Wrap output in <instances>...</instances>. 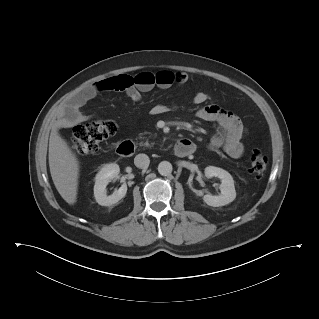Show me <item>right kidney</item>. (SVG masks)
Wrapping results in <instances>:
<instances>
[{
    "label": "right kidney",
    "mask_w": 319,
    "mask_h": 319,
    "mask_svg": "<svg viewBox=\"0 0 319 319\" xmlns=\"http://www.w3.org/2000/svg\"><path fill=\"white\" fill-rule=\"evenodd\" d=\"M119 173V165L115 163L105 165L97 173L95 177L94 196L99 205L110 206L125 197L127 192L126 183H123L118 190L114 191L113 194L109 196L106 195L107 184L114 178L118 177Z\"/></svg>",
    "instance_id": "1"
}]
</instances>
